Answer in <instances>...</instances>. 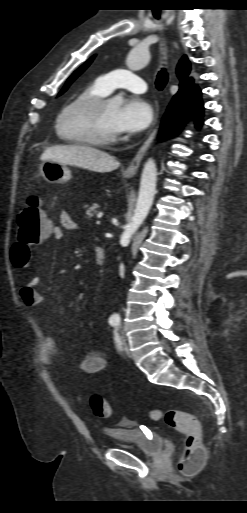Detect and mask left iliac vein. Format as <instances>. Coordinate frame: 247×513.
Returning <instances> with one entry per match:
<instances>
[{
	"mask_svg": "<svg viewBox=\"0 0 247 513\" xmlns=\"http://www.w3.org/2000/svg\"><path fill=\"white\" fill-rule=\"evenodd\" d=\"M122 343H123V346H124V349H125L126 353L129 356H131V353H130L129 348H128L127 340H126V337L124 335H122Z\"/></svg>",
	"mask_w": 247,
	"mask_h": 513,
	"instance_id": "1",
	"label": "left iliac vein"
}]
</instances>
